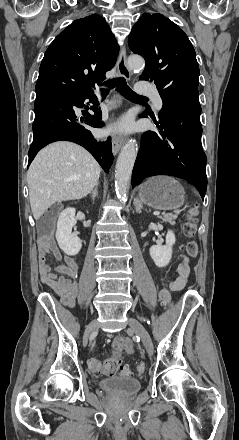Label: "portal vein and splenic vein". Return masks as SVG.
<instances>
[{
  "label": "portal vein and splenic vein",
  "mask_w": 239,
  "mask_h": 440,
  "mask_svg": "<svg viewBox=\"0 0 239 440\" xmlns=\"http://www.w3.org/2000/svg\"><path fill=\"white\" fill-rule=\"evenodd\" d=\"M154 214H155V215H159V212H158V211H154Z\"/></svg>",
  "instance_id": "18ae733b"
}]
</instances>
